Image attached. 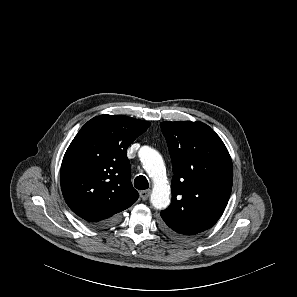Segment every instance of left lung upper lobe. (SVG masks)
Returning a JSON list of instances; mask_svg holds the SVG:
<instances>
[{
	"mask_svg": "<svg viewBox=\"0 0 297 297\" xmlns=\"http://www.w3.org/2000/svg\"><path fill=\"white\" fill-rule=\"evenodd\" d=\"M173 166L172 201L162 224L180 238L211 228L228 203L233 166L220 137L196 121L161 122Z\"/></svg>",
	"mask_w": 297,
	"mask_h": 297,
	"instance_id": "1",
	"label": "left lung upper lobe"
}]
</instances>
